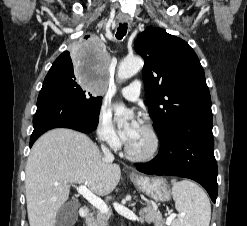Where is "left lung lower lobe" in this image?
I'll return each instance as SVG.
<instances>
[{
  "mask_svg": "<svg viewBox=\"0 0 247 226\" xmlns=\"http://www.w3.org/2000/svg\"><path fill=\"white\" fill-rule=\"evenodd\" d=\"M161 148L150 164L137 169L146 174L185 177L200 183L215 203L218 191L214 157L212 113L197 114L160 140Z\"/></svg>",
  "mask_w": 247,
  "mask_h": 226,
  "instance_id": "1",
  "label": "left lung lower lobe"
}]
</instances>
